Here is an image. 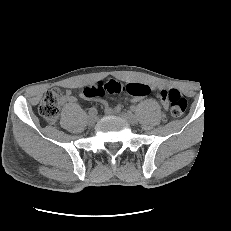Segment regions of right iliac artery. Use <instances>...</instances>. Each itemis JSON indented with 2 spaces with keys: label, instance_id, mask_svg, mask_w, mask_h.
<instances>
[{
  "label": "right iliac artery",
  "instance_id": "right-iliac-artery-1",
  "mask_svg": "<svg viewBox=\"0 0 231 231\" xmlns=\"http://www.w3.org/2000/svg\"><path fill=\"white\" fill-rule=\"evenodd\" d=\"M89 114L90 115H96L97 114V109L95 107H92L89 109Z\"/></svg>",
  "mask_w": 231,
  "mask_h": 231
}]
</instances>
